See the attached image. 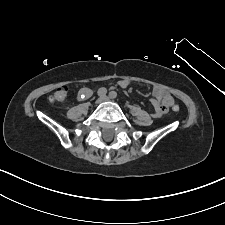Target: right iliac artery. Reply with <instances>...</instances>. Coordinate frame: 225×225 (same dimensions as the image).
Here are the masks:
<instances>
[{
	"label": "right iliac artery",
	"instance_id": "1",
	"mask_svg": "<svg viewBox=\"0 0 225 225\" xmlns=\"http://www.w3.org/2000/svg\"><path fill=\"white\" fill-rule=\"evenodd\" d=\"M106 94H107V89H106V88L102 87V88H100V89L98 90V95H99L100 97H103V96H105Z\"/></svg>",
	"mask_w": 225,
	"mask_h": 225
}]
</instances>
